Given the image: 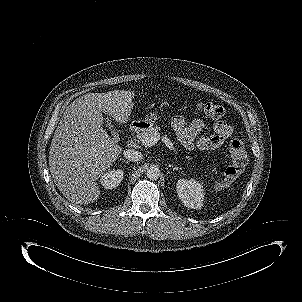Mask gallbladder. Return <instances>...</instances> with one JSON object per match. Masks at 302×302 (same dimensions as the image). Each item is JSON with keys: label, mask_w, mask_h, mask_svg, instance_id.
I'll list each match as a JSON object with an SVG mask.
<instances>
[{"label": "gallbladder", "mask_w": 302, "mask_h": 302, "mask_svg": "<svg viewBox=\"0 0 302 302\" xmlns=\"http://www.w3.org/2000/svg\"><path fill=\"white\" fill-rule=\"evenodd\" d=\"M106 125L109 127V128H112V125H111V120L110 118L107 116L106 118Z\"/></svg>", "instance_id": "1"}]
</instances>
